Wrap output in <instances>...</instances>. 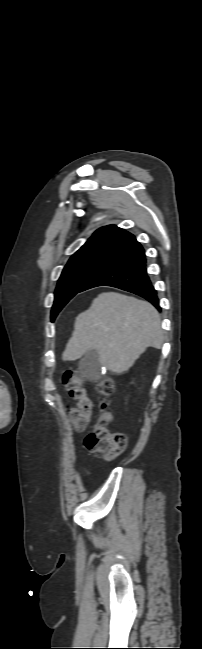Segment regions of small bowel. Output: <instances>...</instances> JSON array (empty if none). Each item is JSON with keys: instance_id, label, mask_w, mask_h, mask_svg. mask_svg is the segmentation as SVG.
I'll use <instances>...</instances> for the list:
<instances>
[{"instance_id": "c3829d8e", "label": "small bowel", "mask_w": 202, "mask_h": 649, "mask_svg": "<svg viewBox=\"0 0 202 649\" xmlns=\"http://www.w3.org/2000/svg\"><path fill=\"white\" fill-rule=\"evenodd\" d=\"M82 471H83V474H84L85 476H88V475L90 474V472H89L88 469H85V468H84V469H82Z\"/></svg>"}]
</instances>
